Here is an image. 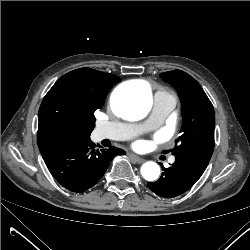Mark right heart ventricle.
<instances>
[{"mask_svg": "<svg viewBox=\"0 0 250 250\" xmlns=\"http://www.w3.org/2000/svg\"><path fill=\"white\" fill-rule=\"evenodd\" d=\"M157 93H163V94H165V95H168V96H171V97H173L168 91H166V90H159Z\"/></svg>", "mask_w": 250, "mask_h": 250, "instance_id": "e07e8e85", "label": "right heart ventricle"}]
</instances>
